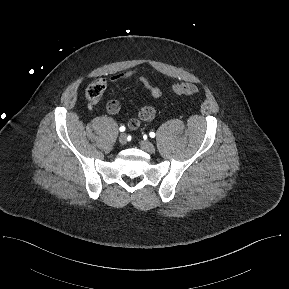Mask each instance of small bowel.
I'll return each mask as SVG.
<instances>
[{
  "label": "small bowel",
  "instance_id": "c3829d8e",
  "mask_svg": "<svg viewBox=\"0 0 289 289\" xmlns=\"http://www.w3.org/2000/svg\"><path fill=\"white\" fill-rule=\"evenodd\" d=\"M136 76H137L138 82L146 90H148V92L151 94L152 97L159 98L163 95L162 89H160L157 86L152 85L147 77H145L143 75H138V73L136 71H125V72L121 73L120 75L114 77L113 80L114 81H116V80L127 81V80H130L131 78L136 77ZM110 105H114L115 108L110 109V107H109ZM119 108H120L119 103L115 100L110 101L107 105V111L110 114L118 113ZM155 115H156V109L153 106H151V105L144 106L139 110L136 117H134L128 121V127L131 130H135L141 125L142 122L151 121L155 117Z\"/></svg>",
  "mask_w": 289,
  "mask_h": 289
}]
</instances>
